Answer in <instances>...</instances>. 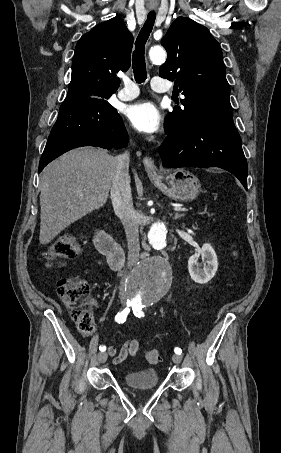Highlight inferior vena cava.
<instances>
[{"label":"inferior vena cava","instance_id":"1","mask_svg":"<svg viewBox=\"0 0 281 453\" xmlns=\"http://www.w3.org/2000/svg\"><path fill=\"white\" fill-rule=\"evenodd\" d=\"M117 168L111 188V200L115 214L124 224L125 235L128 243V265L133 267L139 261L140 245L138 235V218L133 208L129 176V152L115 156ZM120 283V299H125L124 281Z\"/></svg>","mask_w":281,"mask_h":453}]
</instances>
